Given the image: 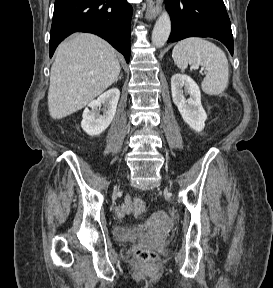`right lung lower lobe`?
Wrapping results in <instances>:
<instances>
[{
	"mask_svg": "<svg viewBox=\"0 0 273 288\" xmlns=\"http://www.w3.org/2000/svg\"><path fill=\"white\" fill-rule=\"evenodd\" d=\"M132 7L127 0H55L50 31V57L74 32H89L108 41L130 59Z\"/></svg>",
	"mask_w": 273,
	"mask_h": 288,
	"instance_id": "obj_1",
	"label": "right lung lower lobe"
}]
</instances>
